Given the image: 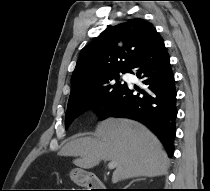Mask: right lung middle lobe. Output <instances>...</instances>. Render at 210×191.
Listing matches in <instances>:
<instances>
[{
    "instance_id": "1",
    "label": "right lung middle lobe",
    "mask_w": 210,
    "mask_h": 191,
    "mask_svg": "<svg viewBox=\"0 0 210 191\" xmlns=\"http://www.w3.org/2000/svg\"><path fill=\"white\" fill-rule=\"evenodd\" d=\"M121 73H128V71L108 74L99 79L89 91L69 99L65 116L66 130L84 111L93 108L101 114L106 109L118 92L126 86V83L119 80Z\"/></svg>"
}]
</instances>
